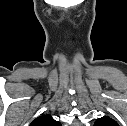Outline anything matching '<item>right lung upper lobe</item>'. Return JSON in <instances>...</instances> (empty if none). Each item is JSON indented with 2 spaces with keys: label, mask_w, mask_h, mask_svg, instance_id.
<instances>
[{
  "label": "right lung upper lobe",
  "mask_w": 127,
  "mask_h": 126,
  "mask_svg": "<svg viewBox=\"0 0 127 126\" xmlns=\"http://www.w3.org/2000/svg\"><path fill=\"white\" fill-rule=\"evenodd\" d=\"M30 126H61V124L55 121L51 115L45 114L34 119Z\"/></svg>",
  "instance_id": "1"
}]
</instances>
